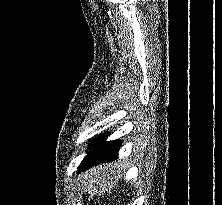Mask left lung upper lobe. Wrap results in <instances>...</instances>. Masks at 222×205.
I'll list each match as a JSON object with an SVG mask.
<instances>
[{
    "mask_svg": "<svg viewBox=\"0 0 222 205\" xmlns=\"http://www.w3.org/2000/svg\"><path fill=\"white\" fill-rule=\"evenodd\" d=\"M96 140H97V138H96V139H94V140L92 141V143H90V145H89V148H90V149H91V148L94 146V144H95Z\"/></svg>",
    "mask_w": 222,
    "mask_h": 205,
    "instance_id": "5c2ea615",
    "label": "left lung upper lobe"
}]
</instances>
